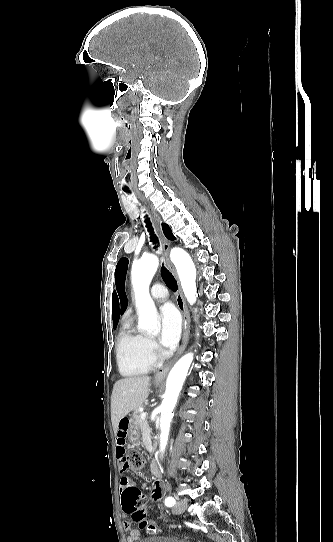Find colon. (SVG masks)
Wrapping results in <instances>:
<instances>
[{
    "instance_id": "1",
    "label": "colon",
    "mask_w": 333,
    "mask_h": 542,
    "mask_svg": "<svg viewBox=\"0 0 333 542\" xmlns=\"http://www.w3.org/2000/svg\"><path fill=\"white\" fill-rule=\"evenodd\" d=\"M128 459L129 469L136 473H141L145 465L144 454L140 451H131ZM142 499L143 490L137 489L134 484H131L128 489L122 490L120 501L125 516H130L138 524L140 529L145 530V533L150 535L154 533L155 529L153 525H150L152 518L148 517L147 511L139 508L137 501Z\"/></svg>"
}]
</instances>
